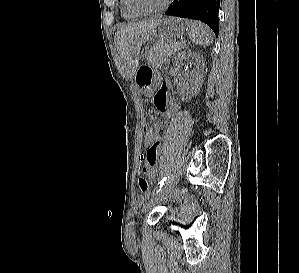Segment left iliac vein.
<instances>
[{
	"instance_id": "4c4485c4",
	"label": "left iliac vein",
	"mask_w": 299,
	"mask_h": 273,
	"mask_svg": "<svg viewBox=\"0 0 299 273\" xmlns=\"http://www.w3.org/2000/svg\"><path fill=\"white\" fill-rule=\"evenodd\" d=\"M179 177H175L169 183H167L164 188H162L158 193L154 195V197L143 207V212L149 211L152 207H154L158 202H160L169 191L178 183Z\"/></svg>"
}]
</instances>
